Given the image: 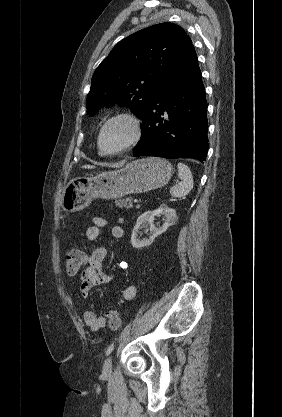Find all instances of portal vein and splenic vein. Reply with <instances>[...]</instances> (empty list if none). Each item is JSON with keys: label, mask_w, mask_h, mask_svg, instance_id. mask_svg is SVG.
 Masks as SVG:
<instances>
[{"label": "portal vein and splenic vein", "mask_w": 282, "mask_h": 417, "mask_svg": "<svg viewBox=\"0 0 282 417\" xmlns=\"http://www.w3.org/2000/svg\"><path fill=\"white\" fill-rule=\"evenodd\" d=\"M133 202H134V203H138V202H139V199H138V198H134V199H133Z\"/></svg>", "instance_id": "portal-vein-and-splenic-vein-1"}]
</instances>
